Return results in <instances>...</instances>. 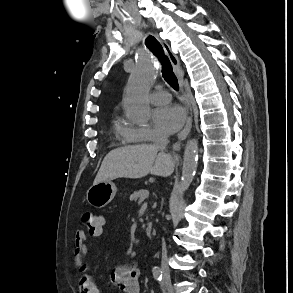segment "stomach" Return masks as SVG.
<instances>
[{
    "label": "stomach",
    "instance_id": "1",
    "mask_svg": "<svg viewBox=\"0 0 293 293\" xmlns=\"http://www.w3.org/2000/svg\"><path fill=\"white\" fill-rule=\"evenodd\" d=\"M116 191L117 189L113 182L93 184L87 191V201L96 208H103L113 200Z\"/></svg>",
    "mask_w": 293,
    "mask_h": 293
}]
</instances>
